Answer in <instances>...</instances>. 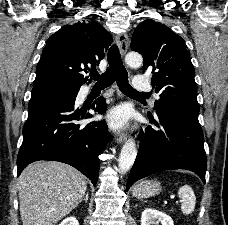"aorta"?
<instances>
[{
	"label": "aorta",
	"instance_id": "762f6f07",
	"mask_svg": "<svg viewBox=\"0 0 228 225\" xmlns=\"http://www.w3.org/2000/svg\"><path fill=\"white\" fill-rule=\"evenodd\" d=\"M125 60L128 66H141L143 62V58L141 54H138V52H128ZM136 157H137L136 145L133 139H128V141L124 143L121 149V153L118 161V167H119L120 173H124V175L125 173H128L131 167H133Z\"/></svg>",
	"mask_w": 228,
	"mask_h": 225
}]
</instances>
